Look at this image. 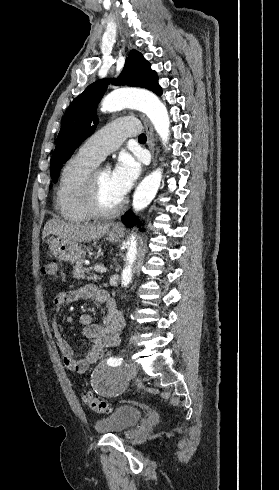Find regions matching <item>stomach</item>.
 <instances>
[{
	"instance_id": "0dacf381",
	"label": "stomach",
	"mask_w": 279,
	"mask_h": 490,
	"mask_svg": "<svg viewBox=\"0 0 279 490\" xmlns=\"http://www.w3.org/2000/svg\"><path fill=\"white\" fill-rule=\"evenodd\" d=\"M121 232H107V240L109 242H117ZM49 248L51 254L57 258V260H62V262H69V264H75V262H80L85 258L86 254L82 250L78 242H72V240H63V238H54L50 240Z\"/></svg>"
}]
</instances>
